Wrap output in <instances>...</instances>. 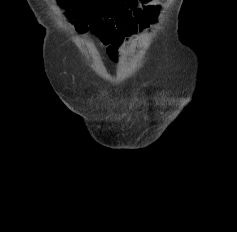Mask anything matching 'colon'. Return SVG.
<instances>
[{
    "instance_id": "colon-1",
    "label": "colon",
    "mask_w": 237,
    "mask_h": 232,
    "mask_svg": "<svg viewBox=\"0 0 237 232\" xmlns=\"http://www.w3.org/2000/svg\"><path fill=\"white\" fill-rule=\"evenodd\" d=\"M77 27L84 31L101 28L104 20L115 18L137 8L145 0H58Z\"/></svg>"
}]
</instances>
